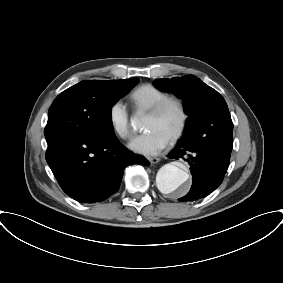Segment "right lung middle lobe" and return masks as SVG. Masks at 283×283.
Returning a JSON list of instances; mask_svg holds the SVG:
<instances>
[{
	"label": "right lung middle lobe",
	"instance_id": "right-lung-middle-lobe-1",
	"mask_svg": "<svg viewBox=\"0 0 283 283\" xmlns=\"http://www.w3.org/2000/svg\"><path fill=\"white\" fill-rule=\"evenodd\" d=\"M125 80H86L63 91L48 111L47 143L74 134L97 137L114 134L111 109L137 83Z\"/></svg>",
	"mask_w": 283,
	"mask_h": 283
}]
</instances>
